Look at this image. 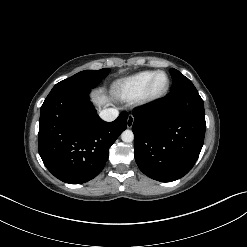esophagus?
Instances as JSON below:
<instances>
[{
  "instance_id": "34e87169",
  "label": "esophagus",
  "mask_w": 247,
  "mask_h": 247,
  "mask_svg": "<svg viewBox=\"0 0 247 247\" xmlns=\"http://www.w3.org/2000/svg\"><path fill=\"white\" fill-rule=\"evenodd\" d=\"M133 123H134V117L133 115H129L126 122L127 128H131L133 126Z\"/></svg>"
}]
</instances>
